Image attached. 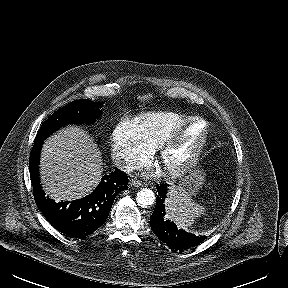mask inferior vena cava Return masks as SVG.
Instances as JSON below:
<instances>
[{
    "mask_svg": "<svg viewBox=\"0 0 288 288\" xmlns=\"http://www.w3.org/2000/svg\"><path fill=\"white\" fill-rule=\"evenodd\" d=\"M115 165L117 168H119L121 171L124 172H132L133 170L136 169V164L132 162L131 160H116Z\"/></svg>",
    "mask_w": 288,
    "mask_h": 288,
    "instance_id": "602c4592",
    "label": "inferior vena cava"
}]
</instances>
